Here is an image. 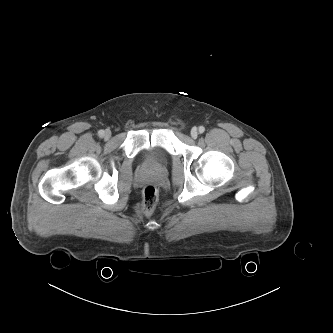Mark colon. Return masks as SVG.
Returning <instances> with one entry per match:
<instances>
[{"label": "colon", "mask_w": 333, "mask_h": 333, "mask_svg": "<svg viewBox=\"0 0 333 333\" xmlns=\"http://www.w3.org/2000/svg\"><path fill=\"white\" fill-rule=\"evenodd\" d=\"M158 203L157 189L152 185H147L143 189L142 209L147 215H150L155 210Z\"/></svg>", "instance_id": "1"}]
</instances>
